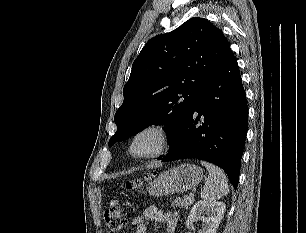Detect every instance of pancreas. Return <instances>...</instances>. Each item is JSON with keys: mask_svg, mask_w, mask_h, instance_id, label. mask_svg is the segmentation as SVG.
Masks as SVG:
<instances>
[{"mask_svg": "<svg viewBox=\"0 0 306 233\" xmlns=\"http://www.w3.org/2000/svg\"><path fill=\"white\" fill-rule=\"evenodd\" d=\"M194 203V198H191L190 196H183V197H178L176 198L173 202L172 205H175L179 208H188Z\"/></svg>", "mask_w": 306, "mask_h": 233, "instance_id": "pancreas-1", "label": "pancreas"}]
</instances>
